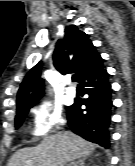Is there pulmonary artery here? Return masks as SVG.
<instances>
[{
    "label": "pulmonary artery",
    "instance_id": "e3ab8cb5",
    "mask_svg": "<svg viewBox=\"0 0 135 166\" xmlns=\"http://www.w3.org/2000/svg\"><path fill=\"white\" fill-rule=\"evenodd\" d=\"M67 94L69 97H74L76 95V89L74 87H69L67 90Z\"/></svg>",
    "mask_w": 135,
    "mask_h": 166
}]
</instances>
